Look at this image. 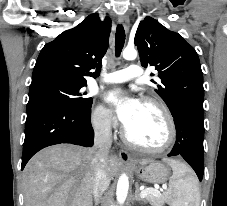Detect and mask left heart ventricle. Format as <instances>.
Listing matches in <instances>:
<instances>
[{"mask_svg":"<svg viewBox=\"0 0 227 206\" xmlns=\"http://www.w3.org/2000/svg\"><path fill=\"white\" fill-rule=\"evenodd\" d=\"M127 132L134 141L141 145L159 146L166 139L167 127L158 108L141 103L140 112Z\"/></svg>","mask_w":227,"mask_h":206,"instance_id":"obj_1","label":"left heart ventricle"}]
</instances>
